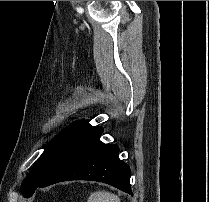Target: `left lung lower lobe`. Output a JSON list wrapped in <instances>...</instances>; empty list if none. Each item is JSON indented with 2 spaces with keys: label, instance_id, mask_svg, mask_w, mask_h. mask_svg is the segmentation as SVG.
I'll return each instance as SVG.
<instances>
[{
  "label": "left lung lower lobe",
  "instance_id": "1",
  "mask_svg": "<svg viewBox=\"0 0 209 202\" xmlns=\"http://www.w3.org/2000/svg\"><path fill=\"white\" fill-rule=\"evenodd\" d=\"M103 129L83 122L60 148L47 176L46 187L68 180L104 182L130 195L131 170L119 159V148L99 140Z\"/></svg>",
  "mask_w": 209,
  "mask_h": 202
}]
</instances>
